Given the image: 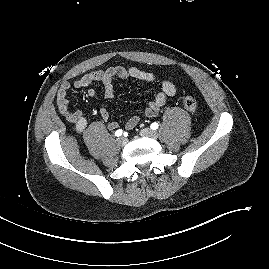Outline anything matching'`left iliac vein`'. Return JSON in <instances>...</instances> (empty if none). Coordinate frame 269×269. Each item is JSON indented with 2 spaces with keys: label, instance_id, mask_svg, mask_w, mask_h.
<instances>
[{
  "label": "left iliac vein",
  "instance_id": "1",
  "mask_svg": "<svg viewBox=\"0 0 269 269\" xmlns=\"http://www.w3.org/2000/svg\"><path fill=\"white\" fill-rule=\"evenodd\" d=\"M140 135L142 137L150 138V139H157L158 133L150 128H144L140 131Z\"/></svg>",
  "mask_w": 269,
  "mask_h": 269
}]
</instances>
